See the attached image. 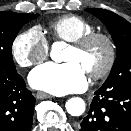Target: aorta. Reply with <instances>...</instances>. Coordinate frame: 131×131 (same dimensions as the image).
Returning a JSON list of instances; mask_svg holds the SVG:
<instances>
[{
  "instance_id": "obj_1",
  "label": "aorta",
  "mask_w": 131,
  "mask_h": 131,
  "mask_svg": "<svg viewBox=\"0 0 131 131\" xmlns=\"http://www.w3.org/2000/svg\"><path fill=\"white\" fill-rule=\"evenodd\" d=\"M60 47L58 43L52 46L51 57L56 59L60 54ZM67 112L72 116H80L85 112V102L80 97L70 98L65 104Z\"/></svg>"
}]
</instances>
